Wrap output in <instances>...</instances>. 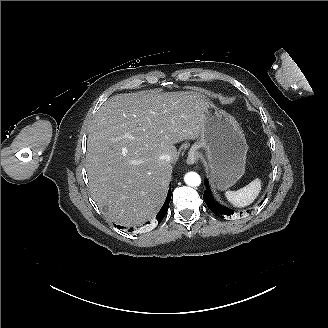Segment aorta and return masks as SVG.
Here are the masks:
<instances>
[{
	"instance_id": "762f6f07",
	"label": "aorta",
	"mask_w": 328,
	"mask_h": 328,
	"mask_svg": "<svg viewBox=\"0 0 328 328\" xmlns=\"http://www.w3.org/2000/svg\"><path fill=\"white\" fill-rule=\"evenodd\" d=\"M184 181L188 186L196 187L201 184V178L196 172H188L184 176Z\"/></svg>"
}]
</instances>
